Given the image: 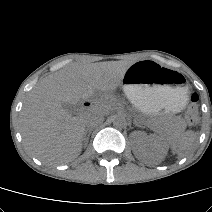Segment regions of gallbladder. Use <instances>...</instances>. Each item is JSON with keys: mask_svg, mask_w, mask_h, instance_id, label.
<instances>
[{"mask_svg": "<svg viewBox=\"0 0 212 212\" xmlns=\"http://www.w3.org/2000/svg\"><path fill=\"white\" fill-rule=\"evenodd\" d=\"M62 106L67 112H69L71 114L75 113L76 108L74 105L64 103V104H62Z\"/></svg>", "mask_w": 212, "mask_h": 212, "instance_id": "obj_1", "label": "gallbladder"}]
</instances>
